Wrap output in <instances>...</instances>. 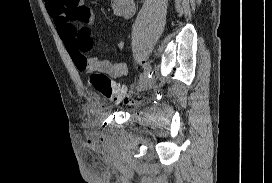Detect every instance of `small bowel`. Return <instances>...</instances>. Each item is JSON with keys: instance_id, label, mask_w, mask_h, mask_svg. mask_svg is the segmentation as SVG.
I'll return each mask as SVG.
<instances>
[{"instance_id": "small-bowel-1", "label": "small bowel", "mask_w": 272, "mask_h": 183, "mask_svg": "<svg viewBox=\"0 0 272 183\" xmlns=\"http://www.w3.org/2000/svg\"><path fill=\"white\" fill-rule=\"evenodd\" d=\"M45 5L78 70L93 68L115 79L127 75L128 67L124 62L87 58V53L93 46L91 27L95 16L84 0H45ZM135 10L134 0H113L115 16L129 19L134 15ZM118 47L124 49L125 42L120 41Z\"/></svg>"}]
</instances>
